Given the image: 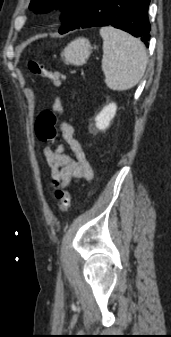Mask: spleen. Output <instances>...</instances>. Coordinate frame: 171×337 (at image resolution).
Listing matches in <instances>:
<instances>
[{
	"instance_id": "1",
	"label": "spleen",
	"mask_w": 171,
	"mask_h": 337,
	"mask_svg": "<svg viewBox=\"0 0 171 337\" xmlns=\"http://www.w3.org/2000/svg\"><path fill=\"white\" fill-rule=\"evenodd\" d=\"M102 71L106 85L115 91L133 88L143 77L147 53L143 43L114 27H102Z\"/></svg>"
}]
</instances>
